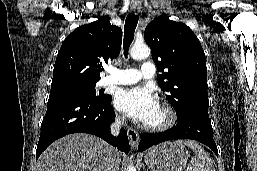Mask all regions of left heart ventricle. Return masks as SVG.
Listing matches in <instances>:
<instances>
[{
  "mask_svg": "<svg viewBox=\"0 0 257 171\" xmlns=\"http://www.w3.org/2000/svg\"><path fill=\"white\" fill-rule=\"evenodd\" d=\"M164 118H165V116H164L163 112L158 107L156 112L151 116V118L146 123L157 124V123L162 122L164 120Z\"/></svg>",
  "mask_w": 257,
  "mask_h": 171,
  "instance_id": "left-heart-ventricle-1",
  "label": "left heart ventricle"
}]
</instances>
